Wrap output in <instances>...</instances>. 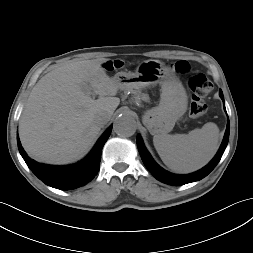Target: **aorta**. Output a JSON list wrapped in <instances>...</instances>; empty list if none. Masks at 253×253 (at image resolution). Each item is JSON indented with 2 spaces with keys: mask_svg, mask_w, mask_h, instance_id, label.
Listing matches in <instances>:
<instances>
[{
  "mask_svg": "<svg viewBox=\"0 0 253 253\" xmlns=\"http://www.w3.org/2000/svg\"><path fill=\"white\" fill-rule=\"evenodd\" d=\"M136 120L128 114H120L113 125L114 132L121 137H130L136 132Z\"/></svg>",
  "mask_w": 253,
  "mask_h": 253,
  "instance_id": "762f6f07",
  "label": "aorta"
}]
</instances>
